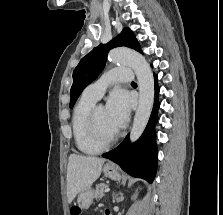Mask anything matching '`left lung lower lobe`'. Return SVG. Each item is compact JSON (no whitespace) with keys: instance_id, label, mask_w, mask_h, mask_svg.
I'll list each match as a JSON object with an SVG mask.
<instances>
[{"instance_id":"obj_1","label":"left lung lower lobe","mask_w":223,"mask_h":215,"mask_svg":"<svg viewBox=\"0 0 223 215\" xmlns=\"http://www.w3.org/2000/svg\"><path fill=\"white\" fill-rule=\"evenodd\" d=\"M155 78V103L151 113L148 125L140 137L134 144H130L129 136L114 150L103 154L104 158H108L134 177L143 178L152 183L157 169V148L155 143V124L158 120L157 110L159 108L157 85V75Z\"/></svg>"}]
</instances>
